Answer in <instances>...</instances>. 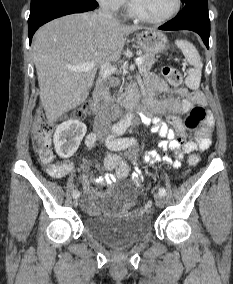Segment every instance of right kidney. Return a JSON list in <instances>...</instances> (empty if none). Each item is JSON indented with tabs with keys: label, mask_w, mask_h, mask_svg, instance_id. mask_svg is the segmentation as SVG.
<instances>
[{
	"label": "right kidney",
	"mask_w": 233,
	"mask_h": 284,
	"mask_svg": "<svg viewBox=\"0 0 233 284\" xmlns=\"http://www.w3.org/2000/svg\"><path fill=\"white\" fill-rule=\"evenodd\" d=\"M86 131V125L79 121L68 120L60 124L53 136L57 154L62 158L71 157L77 151Z\"/></svg>",
	"instance_id": "1"
}]
</instances>
